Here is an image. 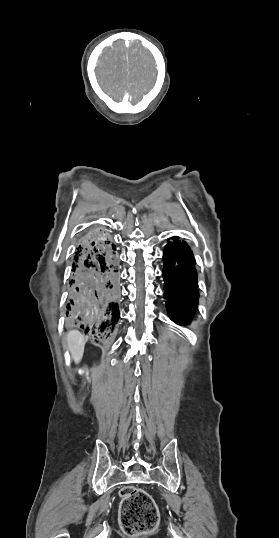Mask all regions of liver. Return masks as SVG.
I'll use <instances>...</instances> for the list:
<instances>
[{
  "label": "liver",
  "instance_id": "1",
  "mask_svg": "<svg viewBox=\"0 0 279 538\" xmlns=\"http://www.w3.org/2000/svg\"><path fill=\"white\" fill-rule=\"evenodd\" d=\"M66 340L72 360H74L75 364H79L83 358L87 338L82 336L78 330H70V332L67 334Z\"/></svg>",
  "mask_w": 279,
  "mask_h": 538
}]
</instances>
